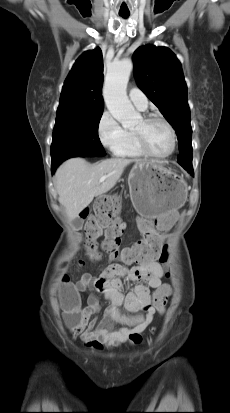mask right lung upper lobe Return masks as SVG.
Segmentation results:
<instances>
[{
    "label": "right lung upper lobe",
    "instance_id": "right-lung-upper-lobe-1",
    "mask_svg": "<svg viewBox=\"0 0 230 413\" xmlns=\"http://www.w3.org/2000/svg\"><path fill=\"white\" fill-rule=\"evenodd\" d=\"M103 59L99 48L84 52L73 65L62 88L57 117L103 113Z\"/></svg>",
    "mask_w": 230,
    "mask_h": 413
}]
</instances>
